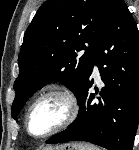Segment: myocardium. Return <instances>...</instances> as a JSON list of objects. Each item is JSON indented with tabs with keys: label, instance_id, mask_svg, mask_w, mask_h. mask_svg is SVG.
Wrapping results in <instances>:
<instances>
[{
	"label": "myocardium",
	"instance_id": "1",
	"mask_svg": "<svg viewBox=\"0 0 139 150\" xmlns=\"http://www.w3.org/2000/svg\"><path fill=\"white\" fill-rule=\"evenodd\" d=\"M49 96H58L61 97L67 106V115L65 117V119L55 128H53L52 130L48 131L45 134L42 135H35L31 132L30 130V116L31 113L34 109V107L44 98L49 97ZM79 111H80V106H79V102L77 100V98L75 97V95L70 92L67 89H63V88H53V89H49L46 90L44 92H42L40 95H38L34 101L31 103V105L29 106L26 116H25V128L27 133L36 139H44L47 137H50L54 134H57L63 130H65L66 128H68L70 125H72L74 123V121L77 119L78 115H79Z\"/></svg>",
	"mask_w": 139,
	"mask_h": 150
}]
</instances>
